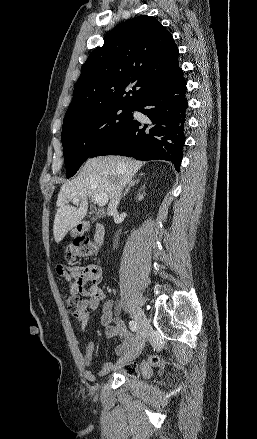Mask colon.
<instances>
[{"instance_id": "obj_1", "label": "colon", "mask_w": 257, "mask_h": 439, "mask_svg": "<svg viewBox=\"0 0 257 439\" xmlns=\"http://www.w3.org/2000/svg\"><path fill=\"white\" fill-rule=\"evenodd\" d=\"M96 251L95 246L87 239H78L72 246H69L65 252L64 257L68 260L75 258H87L93 255ZM84 297L80 292H69L64 296V303L67 309L72 313H78L83 305ZM160 358L158 356H150L146 363L138 366L136 363H127L124 366V371L131 377H138L140 374L148 375L150 373L151 365H158Z\"/></svg>"}]
</instances>
